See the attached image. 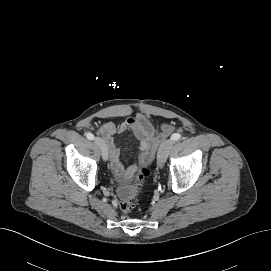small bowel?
Here are the masks:
<instances>
[{"mask_svg":"<svg viewBox=\"0 0 271 271\" xmlns=\"http://www.w3.org/2000/svg\"><path fill=\"white\" fill-rule=\"evenodd\" d=\"M165 130L168 128L165 127ZM99 132L105 141L109 156L110 168L119 181H126L137 171L138 165L125 166L120 161V150L114 143L113 136L130 132L139 142L138 161L141 164L149 163L154 157L158 144L153 124L142 114L129 117L125 121L115 124L108 122L99 128Z\"/></svg>","mask_w":271,"mask_h":271,"instance_id":"small-bowel-1","label":"small bowel"}]
</instances>
